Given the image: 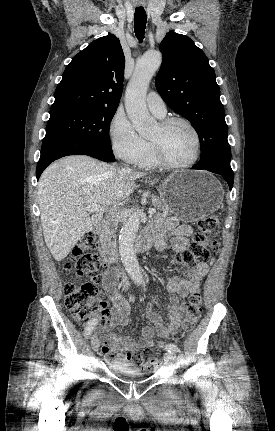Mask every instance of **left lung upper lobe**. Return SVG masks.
<instances>
[{
    "mask_svg": "<svg viewBox=\"0 0 275 431\" xmlns=\"http://www.w3.org/2000/svg\"><path fill=\"white\" fill-rule=\"evenodd\" d=\"M163 62L155 79L166 104L189 120L200 139L199 166H230L228 127L220 89L208 58L187 36L171 31L160 44Z\"/></svg>",
    "mask_w": 275,
    "mask_h": 431,
    "instance_id": "obj_1",
    "label": "left lung upper lobe"
}]
</instances>
